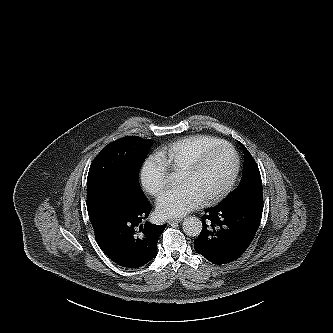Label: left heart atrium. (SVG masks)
<instances>
[{
    "label": "left heart atrium",
    "mask_w": 333,
    "mask_h": 333,
    "mask_svg": "<svg viewBox=\"0 0 333 333\" xmlns=\"http://www.w3.org/2000/svg\"><path fill=\"white\" fill-rule=\"evenodd\" d=\"M203 202V197L190 185L181 184L165 191L157 200V211L164 217L187 214Z\"/></svg>",
    "instance_id": "left-heart-atrium-1"
}]
</instances>
